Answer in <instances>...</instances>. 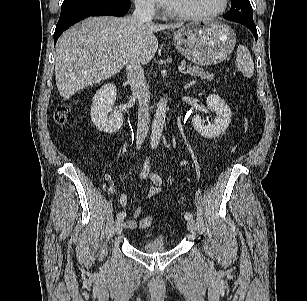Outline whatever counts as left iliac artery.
<instances>
[{"label":"left iliac artery","mask_w":307,"mask_h":301,"mask_svg":"<svg viewBox=\"0 0 307 301\" xmlns=\"http://www.w3.org/2000/svg\"><path fill=\"white\" fill-rule=\"evenodd\" d=\"M184 216L187 220L193 219V215L190 212H186Z\"/></svg>","instance_id":"44dca946"}]
</instances>
